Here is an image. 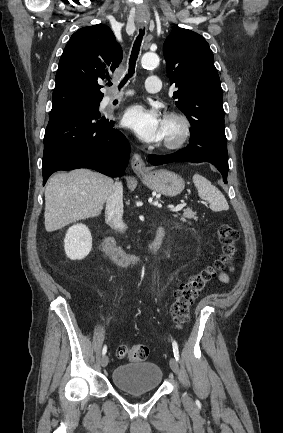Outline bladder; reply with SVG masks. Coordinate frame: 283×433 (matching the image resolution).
Returning <instances> with one entry per match:
<instances>
[{
	"label": "bladder",
	"instance_id": "1",
	"mask_svg": "<svg viewBox=\"0 0 283 433\" xmlns=\"http://www.w3.org/2000/svg\"><path fill=\"white\" fill-rule=\"evenodd\" d=\"M162 370L154 362H136L115 368L113 383L122 392L136 393L157 389L162 380Z\"/></svg>",
	"mask_w": 283,
	"mask_h": 433
}]
</instances>
